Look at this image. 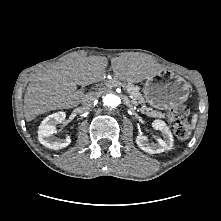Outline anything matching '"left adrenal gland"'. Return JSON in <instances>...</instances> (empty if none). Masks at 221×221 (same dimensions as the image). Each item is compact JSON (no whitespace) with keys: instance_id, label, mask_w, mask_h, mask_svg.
Returning a JSON list of instances; mask_svg holds the SVG:
<instances>
[{"instance_id":"a2214340","label":"left adrenal gland","mask_w":221,"mask_h":221,"mask_svg":"<svg viewBox=\"0 0 221 221\" xmlns=\"http://www.w3.org/2000/svg\"><path fill=\"white\" fill-rule=\"evenodd\" d=\"M126 104H127L128 106H131V105H130V101H129V102H127Z\"/></svg>"}]
</instances>
